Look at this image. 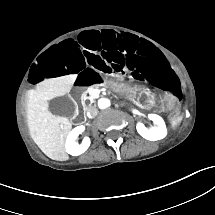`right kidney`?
<instances>
[{
	"label": "right kidney",
	"mask_w": 215,
	"mask_h": 215,
	"mask_svg": "<svg viewBox=\"0 0 215 215\" xmlns=\"http://www.w3.org/2000/svg\"><path fill=\"white\" fill-rule=\"evenodd\" d=\"M76 128H79L77 131L74 129L69 133L65 143L66 152L72 156H78L84 153L90 146V138L85 137L81 144H78L75 140L77 139L78 135L81 134L85 127L80 125Z\"/></svg>",
	"instance_id": "obj_1"
}]
</instances>
